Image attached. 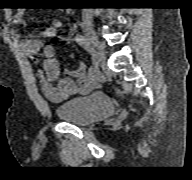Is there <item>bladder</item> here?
<instances>
[{
	"mask_svg": "<svg viewBox=\"0 0 192 180\" xmlns=\"http://www.w3.org/2000/svg\"><path fill=\"white\" fill-rule=\"evenodd\" d=\"M115 112L111 99L103 93L75 98L56 107V115L75 125H87L110 117Z\"/></svg>",
	"mask_w": 192,
	"mask_h": 180,
	"instance_id": "bladder-1",
	"label": "bladder"
}]
</instances>
